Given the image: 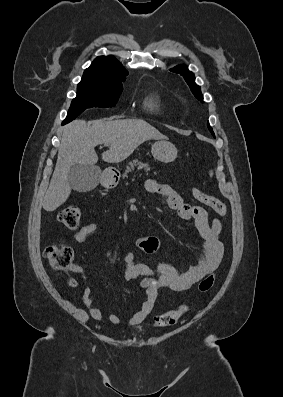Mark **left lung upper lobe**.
Returning a JSON list of instances; mask_svg holds the SVG:
<instances>
[{
	"label": "left lung upper lobe",
	"instance_id": "obj_1",
	"mask_svg": "<svg viewBox=\"0 0 283 397\" xmlns=\"http://www.w3.org/2000/svg\"><path fill=\"white\" fill-rule=\"evenodd\" d=\"M170 71H172L174 73H178L181 76H183L184 80L187 82L188 86L190 87V90L193 93V95L200 101L203 100V95L201 93V89L195 83L194 74L191 71H189L185 65H178V66L172 68ZM207 126H208L209 130L211 131L212 135L214 136V132H213L212 128L210 127L209 123H207Z\"/></svg>",
	"mask_w": 283,
	"mask_h": 397
}]
</instances>
